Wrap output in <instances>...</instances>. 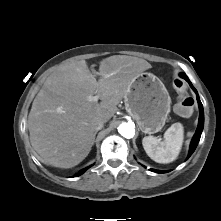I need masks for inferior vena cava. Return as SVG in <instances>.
Returning a JSON list of instances; mask_svg holds the SVG:
<instances>
[{"label":"inferior vena cava","instance_id":"inferior-vena-cava-1","mask_svg":"<svg viewBox=\"0 0 221 221\" xmlns=\"http://www.w3.org/2000/svg\"><path fill=\"white\" fill-rule=\"evenodd\" d=\"M104 122L102 120H94L91 123V129L95 132L103 128Z\"/></svg>","mask_w":221,"mask_h":221}]
</instances>
